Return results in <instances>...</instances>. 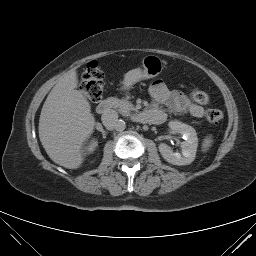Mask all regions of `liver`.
<instances>
[{
    "instance_id": "6515ba94",
    "label": "liver",
    "mask_w": 256,
    "mask_h": 256,
    "mask_svg": "<svg viewBox=\"0 0 256 256\" xmlns=\"http://www.w3.org/2000/svg\"><path fill=\"white\" fill-rule=\"evenodd\" d=\"M77 86L76 70L59 79L44 102L38 127L47 155L68 169H77L83 163L82 148L95 126L90 103Z\"/></svg>"
}]
</instances>
